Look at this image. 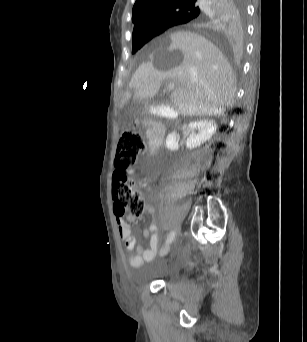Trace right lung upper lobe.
<instances>
[{
	"label": "right lung upper lobe",
	"instance_id": "1",
	"mask_svg": "<svg viewBox=\"0 0 307 342\" xmlns=\"http://www.w3.org/2000/svg\"><path fill=\"white\" fill-rule=\"evenodd\" d=\"M236 0H136L133 35L189 24L199 32L224 40L228 37ZM187 15V16H183Z\"/></svg>",
	"mask_w": 307,
	"mask_h": 342
}]
</instances>
